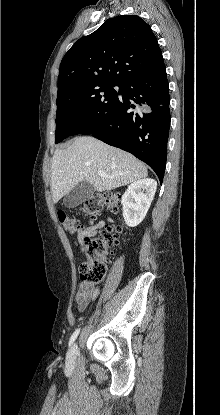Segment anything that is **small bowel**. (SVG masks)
<instances>
[{
    "mask_svg": "<svg viewBox=\"0 0 220 415\" xmlns=\"http://www.w3.org/2000/svg\"><path fill=\"white\" fill-rule=\"evenodd\" d=\"M110 222L111 220L109 219L108 223ZM106 226V221H99L92 226L80 228V230L77 232L78 243L82 245L83 239L86 236H92L100 233ZM97 294L98 290L94 286L81 282L75 295V302L78 309L80 311H84L88 305L96 298Z\"/></svg>",
    "mask_w": 220,
    "mask_h": 415,
    "instance_id": "1",
    "label": "small bowel"
}]
</instances>
